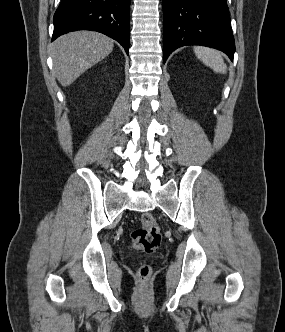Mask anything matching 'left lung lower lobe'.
Listing matches in <instances>:
<instances>
[{
	"label": "left lung lower lobe",
	"mask_w": 285,
	"mask_h": 332,
	"mask_svg": "<svg viewBox=\"0 0 285 332\" xmlns=\"http://www.w3.org/2000/svg\"><path fill=\"white\" fill-rule=\"evenodd\" d=\"M163 62L177 48L202 45L233 60L235 42L226 0H163Z\"/></svg>",
	"instance_id": "0a47b994"
}]
</instances>
